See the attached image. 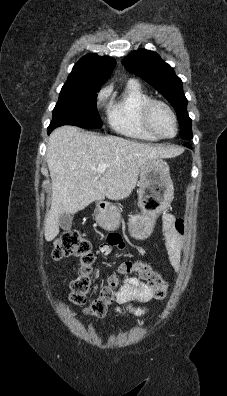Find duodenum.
<instances>
[{"instance_id":"obj_1","label":"duodenum","mask_w":227,"mask_h":396,"mask_svg":"<svg viewBox=\"0 0 227 396\" xmlns=\"http://www.w3.org/2000/svg\"><path fill=\"white\" fill-rule=\"evenodd\" d=\"M97 204L100 208H104L106 206V204L103 201H98Z\"/></svg>"}]
</instances>
